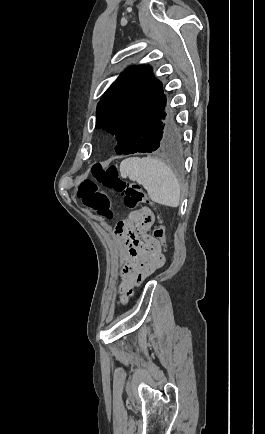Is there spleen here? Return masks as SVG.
Instances as JSON below:
<instances>
[{"instance_id":"spleen-1","label":"spleen","mask_w":265,"mask_h":434,"mask_svg":"<svg viewBox=\"0 0 265 434\" xmlns=\"http://www.w3.org/2000/svg\"><path fill=\"white\" fill-rule=\"evenodd\" d=\"M120 176L141 184L152 202L170 208L179 206V182L171 168L158 158H127L120 164Z\"/></svg>"}]
</instances>
